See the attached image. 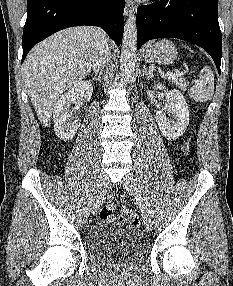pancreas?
Segmentation results:
<instances>
[{
  "mask_svg": "<svg viewBox=\"0 0 233 286\" xmlns=\"http://www.w3.org/2000/svg\"><path fill=\"white\" fill-rule=\"evenodd\" d=\"M166 79L172 83H175L176 86H178L179 89L185 91L186 87L188 86V81H186V79L182 76H178V77H170L168 75H166Z\"/></svg>",
  "mask_w": 233,
  "mask_h": 286,
  "instance_id": "obj_1",
  "label": "pancreas"
}]
</instances>
